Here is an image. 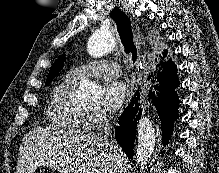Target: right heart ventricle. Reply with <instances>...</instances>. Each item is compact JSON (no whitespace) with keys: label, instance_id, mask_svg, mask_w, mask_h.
I'll return each mask as SVG.
<instances>
[{"label":"right heart ventricle","instance_id":"1","mask_svg":"<svg viewBox=\"0 0 219 173\" xmlns=\"http://www.w3.org/2000/svg\"><path fill=\"white\" fill-rule=\"evenodd\" d=\"M76 82L67 77L56 85L46 110V117L55 129L81 131L88 128V114L73 101Z\"/></svg>","mask_w":219,"mask_h":173}]
</instances>
